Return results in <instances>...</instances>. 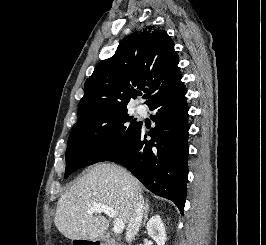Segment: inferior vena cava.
I'll use <instances>...</instances> for the list:
<instances>
[{
	"label": "inferior vena cava",
	"instance_id": "1",
	"mask_svg": "<svg viewBox=\"0 0 266 245\" xmlns=\"http://www.w3.org/2000/svg\"><path fill=\"white\" fill-rule=\"evenodd\" d=\"M130 207V219L125 233V241H127L129 245H131L141 227L143 209H145L144 199L138 191H132Z\"/></svg>",
	"mask_w": 266,
	"mask_h": 245
}]
</instances>
